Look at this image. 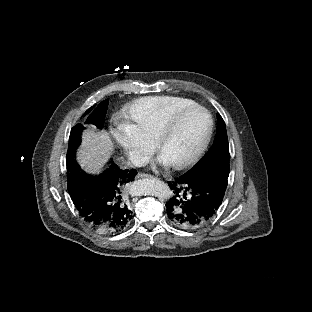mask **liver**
I'll use <instances>...</instances> for the list:
<instances>
[{
    "label": "liver",
    "instance_id": "liver-1",
    "mask_svg": "<svg viewBox=\"0 0 312 312\" xmlns=\"http://www.w3.org/2000/svg\"><path fill=\"white\" fill-rule=\"evenodd\" d=\"M111 145L106 132L99 133L96 129L84 135L83 147L79 152V160L88 171H101L108 162Z\"/></svg>",
    "mask_w": 312,
    "mask_h": 312
}]
</instances>
